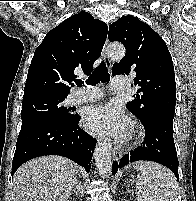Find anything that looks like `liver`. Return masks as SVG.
I'll return each instance as SVG.
<instances>
[{
    "mask_svg": "<svg viewBox=\"0 0 196 201\" xmlns=\"http://www.w3.org/2000/svg\"><path fill=\"white\" fill-rule=\"evenodd\" d=\"M78 165L61 156H42L18 168L13 177V201H67Z\"/></svg>",
    "mask_w": 196,
    "mask_h": 201,
    "instance_id": "1",
    "label": "liver"
}]
</instances>
